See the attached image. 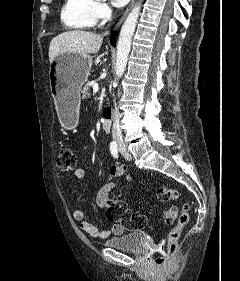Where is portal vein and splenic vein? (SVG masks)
I'll return each instance as SVG.
<instances>
[{"label": "portal vein and splenic vein", "mask_w": 240, "mask_h": 281, "mask_svg": "<svg viewBox=\"0 0 240 281\" xmlns=\"http://www.w3.org/2000/svg\"><path fill=\"white\" fill-rule=\"evenodd\" d=\"M98 90H99L98 84H94V85H93V92H94V93H97Z\"/></svg>", "instance_id": "obj_1"}]
</instances>
